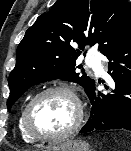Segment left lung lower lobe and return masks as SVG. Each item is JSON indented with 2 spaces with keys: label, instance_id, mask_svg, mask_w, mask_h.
I'll use <instances>...</instances> for the list:
<instances>
[{
  "label": "left lung lower lobe",
  "instance_id": "obj_1",
  "mask_svg": "<svg viewBox=\"0 0 131 151\" xmlns=\"http://www.w3.org/2000/svg\"><path fill=\"white\" fill-rule=\"evenodd\" d=\"M109 59L108 73L113 88L102 93L95 82L87 91L91 101V116L80 133L94 130L131 131V38L105 55Z\"/></svg>",
  "mask_w": 131,
  "mask_h": 151
}]
</instances>
